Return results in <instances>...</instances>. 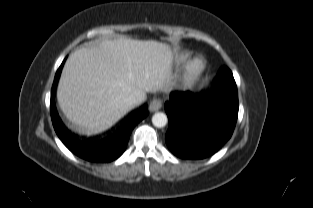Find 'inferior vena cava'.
<instances>
[{
	"mask_svg": "<svg viewBox=\"0 0 313 208\" xmlns=\"http://www.w3.org/2000/svg\"><path fill=\"white\" fill-rule=\"evenodd\" d=\"M121 101L124 107L127 108L137 104L139 99L135 93L128 92L122 96Z\"/></svg>",
	"mask_w": 313,
	"mask_h": 208,
	"instance_id": "602c4592",
	"label": "inferior vena cava"
}]
</instances>
